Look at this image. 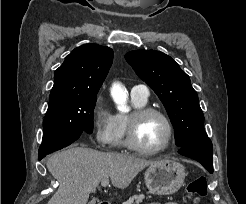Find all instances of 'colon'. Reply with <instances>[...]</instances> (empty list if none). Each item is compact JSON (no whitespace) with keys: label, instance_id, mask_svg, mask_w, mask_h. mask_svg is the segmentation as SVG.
Wrapping results in <instances>:
<instances>
[{"label":"colon","instance_id":"5ec220e1","mask_svg":"<svg viewBox=\"0 0 246 204\" xmlns=\"http://www.w3.org/2000/svg\"><path fill=\"white\" fill-rule=\"evenodd\" d=\"M187 193L195 200L206 197L208 193L207 179L200 176L192 180L187 186Z\"/></svg>","mask_w":246,"mask_h":204}]
</instances>
